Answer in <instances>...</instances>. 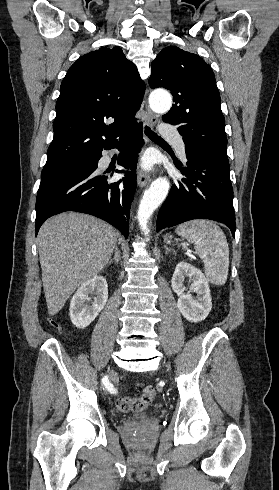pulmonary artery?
Returning <instances> with one entry per match:
<instances>
[{
    "label": "pulmonary artery",
    "instance_id": "obj_1",
    "mask_svg": "<svg viewBox=\"0 0 279 490\" xmlns=\"http://www.w3.org/2000/svg\"><path fill=\"white\" fill-rule=\"evenodd\" d=\"M158 128L161 131L162 137L166 138V140H175V138L179 135L178 128H170V125L167 122H160ZM176 146L180 154L184 156L185 147L183 142L178 140L176 142Z\"/></svg>",
    "mask_w": 279,
    "mask_h": 490
}]
</instances>
